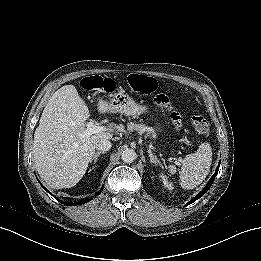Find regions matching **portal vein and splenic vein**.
I'll return each instance as SVG.
<instances>
[{
    "mask_svg": "<svg viewBox=\"0 0 261 261\" xmlns=\"http://www.w3.org/2000/svg\"><path fill=\"white\" fill-rule=\"evenodd\" d=\"M106 131L103 126H96L93 121L88 122L86 130L81 133L82 137H88L90 135Z\"/></svg>",
    "mask_w": 261,
    "mask_h": 261,
    "instance_id": "portal-vein-and-splenic-vein-1",
    "label": "portal vein and splenic vein"
}]
</instances>
